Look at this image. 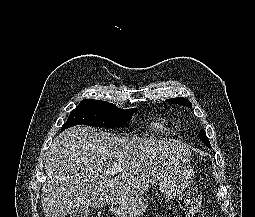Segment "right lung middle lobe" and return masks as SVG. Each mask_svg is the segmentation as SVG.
Here are the masks:
<instances>
[{"label":"right lung middle lobe","mask_w":255,"mask_h":217,"mask_svg":"<svg viewBox=\"0 0 255 217\" xmlns=\"http://www.w3.org/2000/svg\"><path fill=\"white\" fill-rule=\"evenodd\" d=\"M135 112L136 108L123 110L106 101L85 99L71 111L62 130L80 124L93 127H118L126 124Z\"/></svg>","instance_id":"right-lung-middle-lobe-1"}]
</instances>
